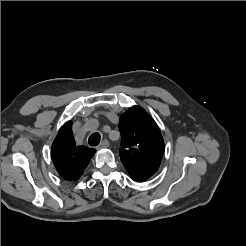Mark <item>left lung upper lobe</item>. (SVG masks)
Returning a JSON list of instances; mask_svg holds the SVG:
<instances>
[{
	"label": "left lung upper lobe",
	"instance_id": "1",
	"mask_svg": "<svg viewBox=\"0 0 246 246\" xmlns=\"http://www.w3.org/2000/svg\"><path fill=\"white\" fill-rule=\"evenodd\" d=\"M120 158L131 178L145 181L158 170L164 142L159 127L141 107L133 106L120 118Z\"/></svg>",
	"mask_w": 246,
	"mask_h": 246
}]
</instances>
